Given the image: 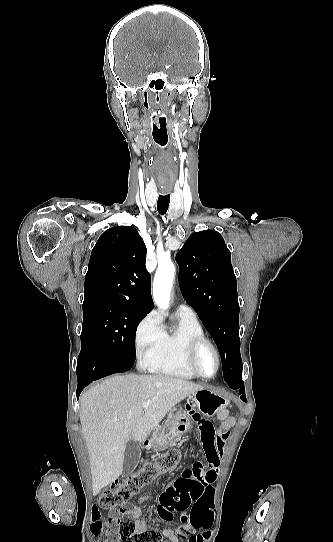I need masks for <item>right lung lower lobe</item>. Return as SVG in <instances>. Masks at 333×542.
I'll return each instance as SVG.
<instances>
[{
    "instance_id": "1",
    "label": "right lung lower lobe",
    "mask_w": 333,
    "mask_h": 542,
    "mask_svg": "<svg viewBox=\"0 0 333 542\" xmlns=\"http://www.w3.org/2000/svg\"><path fill=\"white\" fill-rule=\"evenodd\" d=\"M89 348L90 355L84 357L79 355L77 361V398L82 390L92 381L114 373L125 372L132 367L127 363L113 359L100 349H96L93 346H89Z\"/></svg>"
}]
</instances>
